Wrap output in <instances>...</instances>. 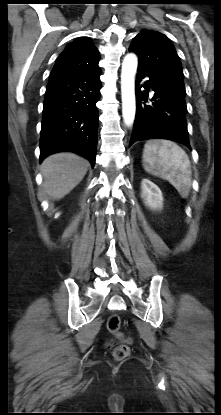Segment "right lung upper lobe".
Segmentation results:
<instances>
[{
  "label": "right lung upper lobe",
  "instance_id": "cb5924a9",
  "mask_svg": "<svg viewBox=\"0 0 221 415\" xmlns=\"http://www.w3.org/2000/svg\"><path fill=\"white\" fill-rule=\"evenodd\" d=\"M99 60L97 48L88 39L78 38L58 56L49 79L97 71Z\"/></svg>",
  "mask_w": 221,
  "mask_h": 415
}]
</instances>
